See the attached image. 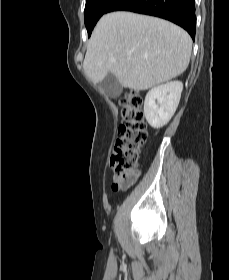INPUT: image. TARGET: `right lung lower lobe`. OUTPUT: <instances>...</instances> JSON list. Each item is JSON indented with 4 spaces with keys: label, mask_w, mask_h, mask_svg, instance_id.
Instances as JSON below:
<instances>
[{
    "label": "right lung lower lobe",
    "mask_w": 229,
    "mask_h": 280,
    "mask_svg": "<svg viewBox=\"0 0 229 280\" xmlns=\"http://www.w3.org/2000/svg\"><path fill=\"white\" fill-rule=\"evenodd\" d=\"M126 10L169 20L195 39V0H114L107 12Z\"/></svg>",
    "instance_id": "1"
}]
</instances>
